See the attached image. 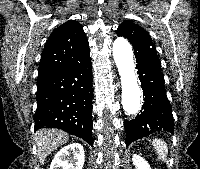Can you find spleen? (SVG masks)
<instances>
[{
    "mask_svg": "<svg viewBox=\"0 0 200 169\" xmlns=\"http://www.w3.org/2000/svg\"><path fill=\"white\" fill-rule=\"evenodd\" d=\"M152 145L157 152L158 158L164 161L168 155V146L166 142L156 138L153 139Z\"/></svg>",
    "mask_w": 200,
    "mask_h": 169,
    "instance_id": "spleen-1",
    "label": "spleen"
}]
</instances>
